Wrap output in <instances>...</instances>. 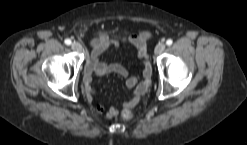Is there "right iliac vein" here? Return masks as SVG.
<instances>
[{
  "mask_svg": "<svg viewBox=\"0 0 247 145\" xmlns=\"http://www.w3.org/2000/svg\"><path fill=\"white\" fill-rule=\"evenodd\" d=\"M71 47L74 49V50H77V51H81L82 50V47L81 45L78 43V42H73Z\"/></svg>",
  "mask_w": 247,
  "mask_h": 145,
  "instance_id": "obj_1",
  "label": "right iliac vein"
}]
</instances>
